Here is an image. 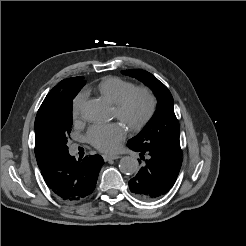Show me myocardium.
Instances as JSON below:
<instances>
[{"label": "myocardium", "instance_id": "obj_1", "mask_svg": "<svg viewBox=\"0 0 246 246\" xmlns=\"http://www.w3.org/2000/svg\"><path fill=\"white\" fill-rule=\"evenodd\" d=\"M138 96H143L147 100V110L140 118L130 119L128 117L129 108ZM157 104V97L150 88L136 87L115 103V110L117 117L126 123L131 130L139 131L151 121L157 110Z\"/></svg>", "mask_w": 246, "mask_h": 246}]
</instances>
